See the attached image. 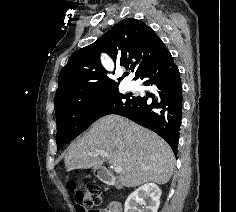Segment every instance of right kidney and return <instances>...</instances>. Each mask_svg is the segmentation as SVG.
<instances>
[{
  "mask_svg": "<svg viewBox=\"0 0 236 212\" xmlns=\"http://www.w3.org/2000/svg\"><path fill=\"white\" fill-rule=\"evenodd\" d=\"M161 190L154 183H147L131 193L126 202L124 212H136L137 205L143 203L142 212H157L160 205Z\"/></svg>",
  "mask_w": 236,
  "mask_h": 212,
  "instance_id": "1",
  "label": "right kidney"
}]
</instances>
